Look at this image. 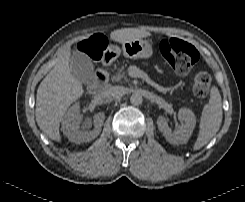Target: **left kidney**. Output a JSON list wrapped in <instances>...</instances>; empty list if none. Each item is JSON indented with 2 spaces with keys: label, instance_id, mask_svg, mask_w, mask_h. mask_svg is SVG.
<instances>
[{
  "label": "left kidney",
  "instance_id": "1",
  "mask_svg": "<svg viewBox=\"0 0 245 202\" xmlns=\"http://www.w3.org/2000/svg\"><path fill=\"white\" fill-rule=\"evenodd\" d=\"M178 118L182 123L174 132H172L171 128L168 126L165 117L160 116L157 119L159 131L169 143L174 145L187 143L196 124L195 114L188 108H181L178 112Z\"/></svg>",
  "mask_w": 245,
  "mask_h": 202
}]
</instances>
